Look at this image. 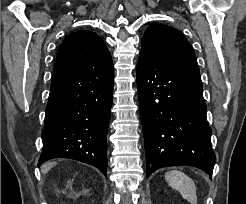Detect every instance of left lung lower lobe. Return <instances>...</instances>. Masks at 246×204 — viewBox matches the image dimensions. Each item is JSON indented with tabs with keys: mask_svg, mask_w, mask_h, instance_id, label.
Instances as JSON below:
<instances>
[{
	"mask_svg": "<svg viewBox=\"0 0 246 204\" xmlns=\"http://www.w3.org/2000/svg\"><path fill=\"white\" fill-rule=\"evenodd\" d=\"M137 87L148 178L168 166H194L210 179L216 162L199 74L139 56Z\"/></svg>",
	"mask_w": 246,
	"mask_h": 204,
	"instance_id": "obj_1",
	"label": "left lung lower lobe"
}]
</instances>
